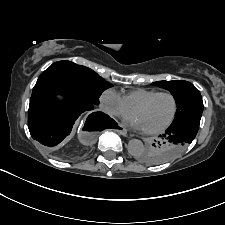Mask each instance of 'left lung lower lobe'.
Returning <instances> with one entry per match:
<instances>
[{"mask_svg": "<svg viewBox=\"0 0 225 225\" xmlns=\"http://www.w3.org/2000/svg\"><path fill=\"white\" fill-rule=\"evenodd\" d=\"M200 119L201 114L194 113L173 121L162 137L170 138L174 140L176 144H174L172 150L156 159L163 163L178 156L181 153L182 148L190 144L195 138L199 129Z\"/></svg>", "mask_w": 225, "mask_h": 225, "instance_id": "obj_1", "label": "left lung lower lobe"}]
</instances>
